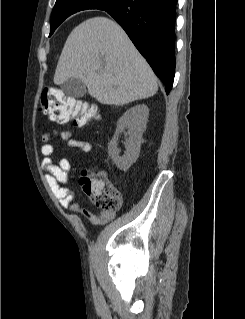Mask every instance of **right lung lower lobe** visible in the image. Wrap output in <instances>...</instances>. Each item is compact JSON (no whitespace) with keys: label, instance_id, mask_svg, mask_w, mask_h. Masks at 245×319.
Masks as SVG:
<instances>
[{"label":"right lung lower lobe","instance_id":"obj_1","mask_svg":"<svg viewBox=\"0 0 245 319\" xmlns=\"http://www.w3.org/2000/svg\"><path fill=\"white\" fill-rule=\"evenodd\" d=\"M178 0H122L103 9L126 31L162 80L168 94L175 75V17Z\"/></svg>","mask_w":245,"mask_h":319}]
</instances>
